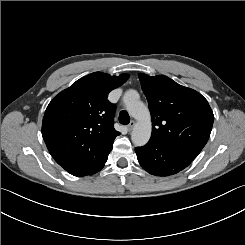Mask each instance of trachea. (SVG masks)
<instances>
[{"mask_svg":"<svg viewBox=\"0 0 245 245\" xmlns=\"http://www.w3.org/2000/svg\"><path fill=\"white\" fill-rule=\"evenodd\" d=\"M119 122L121 124H128L130 122V116L128 114V112L126 110H122L120 113H119Z\"/></svg>","mask_w":245,"mask_h":245,"instance_id":"obj_1","label":"trachea"}]
</instances>
